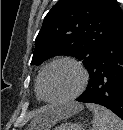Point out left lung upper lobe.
I'll list each match as a JSON object with an SVG mask.
<instances>
[{
    "label": "left lung upper lobe",
    "instance_id": "5c2ea615",
    "mask_svg": "<svg viewBox=\"0 0 123 130\" xmlns=\"http://www.w3.org/2000/svg\"><path fill=\"white\" fill-rule=\"evenodd\" d=\"M123 25L116 0H59L45 16L31 65L70 55L89 68Z\"/></svg>",
    "mask_w": 123,
    "mask_h": 130
}]
</instances>
